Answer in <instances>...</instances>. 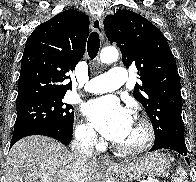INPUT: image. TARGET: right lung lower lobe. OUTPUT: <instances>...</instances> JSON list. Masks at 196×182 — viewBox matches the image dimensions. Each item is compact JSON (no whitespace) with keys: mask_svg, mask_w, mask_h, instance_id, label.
<instances>
[{"mask_svg":"<svg viewBox=\"0 0 196 182\" xmlns=\"http://www.w3.org/2000/svg\"><path fill=\"white\" fill-rule=\"evenodd\" d=\"M72 133L73 131H67L65 129H62L54 125H48V124L32 125L14 131L10 147H12L13 144L17 142L19 139L29 135H45V136L52 137L63 144H69L72 140Z\"/></svg>","mask_w":196,"mask_h":182,"instance_id":"98d812e1","label":"right lung lower lobe"}]
</instances>
